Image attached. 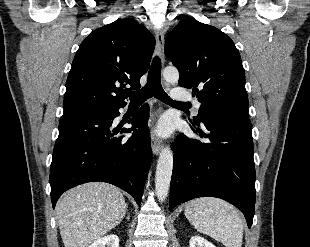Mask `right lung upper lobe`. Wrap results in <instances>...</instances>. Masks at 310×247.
<instances>
[{
  "label": "right lung upper lobe",
  "instance_id": "right-lung-upper-lobe-1",
  "mask_svg": "<svg viewBox=\"0 0 310 247\" xmlns=\"http://www.w3.org/2000/svg\"><path fill=\"white\" fill-rule=\"evenodd\" d=\"M155 47L153 35L136 20H117L81 43L66 81L64 113L125 106L128 90L140 88Z\"/></svg>",
  "mask_w": 310,
  "mask_h": 247
}]
</instances>
